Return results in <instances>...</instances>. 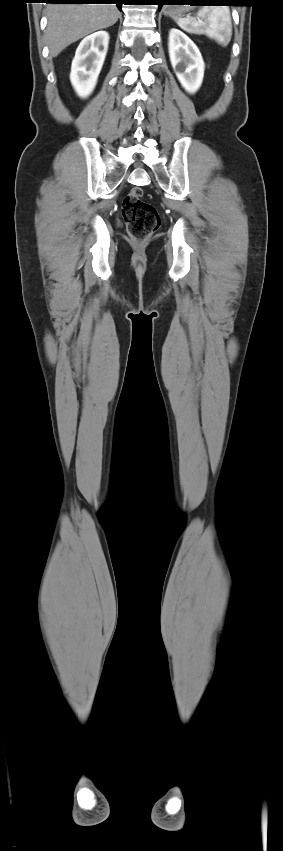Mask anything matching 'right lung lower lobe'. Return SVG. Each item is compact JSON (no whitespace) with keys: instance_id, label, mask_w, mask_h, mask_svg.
<instances>
[{"instance_id":"right-lung-lower-lobe-1","label":"right lung lower lobe","mask_w":283,"mask_h":851,"mask_svg":"<svg viewBox=\"0 0 283 851\" xmlns=\"http://www.w3.org/2000/svg\"><path fill=\"white\" fill-rule=\"evenodd\" d=\"M47 3L53 4H104L111 3L116 4L119 9H121V5L125 4L126 0H46Z\"/></svg>"}]
</instances>
